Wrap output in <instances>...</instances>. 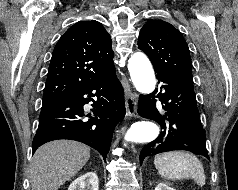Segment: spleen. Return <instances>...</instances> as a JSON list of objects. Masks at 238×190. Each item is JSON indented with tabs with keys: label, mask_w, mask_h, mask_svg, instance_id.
<instances>
[{
	"label": "spleen",
	"mask_w": 238,
	"mask_h": 190,
	"mask_svg": "<svg viewBox=\"0 0 238 190\" xmlns=\"http://www.w3.org/2000/svg\"><path fill=\"white\" fill-rule=\"evenodd\" d=\"M154 165L160 175L166 179H193L197 185H205V173L199 159L188 152L173 151L157 155Z\"/></svg>",
	"instance_id": "1"
}]
</instances>
